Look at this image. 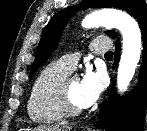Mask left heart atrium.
<instances>
[{
  "label": "left heart atrium",
  "mask_w": 147,
  "mask_h": 131,
  "mask_svg": "<svg viewBox=\"0 0 147 131\" xmlns=\"http://www.w3.org/2000/svg\"><path fill=\"white\" fill-rule=\"evenodd\" d=\"M106 86V77L101 71L88 69L79 81L78 101L82 108L92 106L100 98Z\"/></svg>",
  "instance_id": "1"
}]
</instances>
